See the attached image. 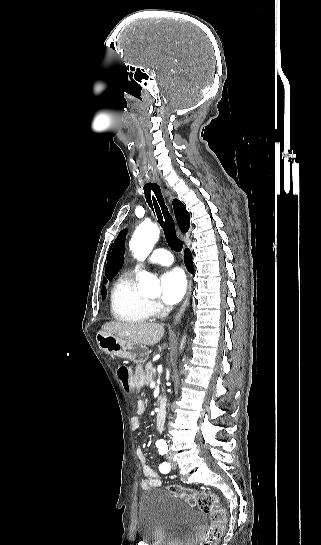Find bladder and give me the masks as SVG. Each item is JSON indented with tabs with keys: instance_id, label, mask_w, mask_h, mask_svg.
Segmentation results:
<instances>
[{
	"instance_id": "1",
	"label": "bladder",
	"mask_w": 321,
	"mask_h": 545,
	"mask_svg": "<svg viewBox=\"0 0 321 545\" xmlns=\"http://www.w3.org/2000/svg\"><path fill=\"white\" fill-rule=\"evenodd\" d=\"M206 524L205 515L163 488H150L139 500L138 534L147 545H191Z\"/></svg>"
}]
</instances>
